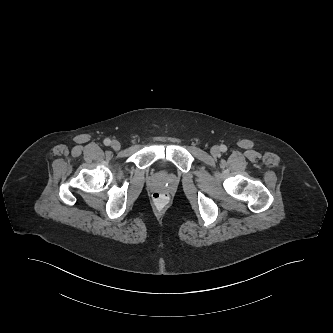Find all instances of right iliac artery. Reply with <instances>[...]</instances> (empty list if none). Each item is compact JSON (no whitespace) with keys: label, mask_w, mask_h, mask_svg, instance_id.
Returning <instances> with one entry per match:
<instances>
[{"label":"right iliac artery","mask_w":333,"mask_h":333,"mask_svg":"<svg viewBox=\"0 0 333 333\" xmlns=\"http://www.w3.org/2000/svg\"><path fill=\"white\" fill-rule=\"evenodd\" d=\"M110 143H111V140H110L109 138H106V139L104 140V144H105L106 146L110 145Z\"/></svg>","instance_id":"82829eb1"}]
</instances>
